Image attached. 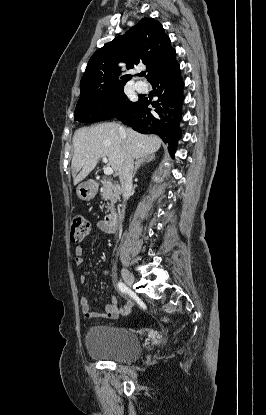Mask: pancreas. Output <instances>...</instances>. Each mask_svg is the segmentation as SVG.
Returning a JSON list of instances; mask_svg holds the SVG:
<instances>
[{"mask_svg": "<svg viewBox=\"0 0 266 415\" xmlns=\"http://www.w3.org/2000/svg\"><path fill=\"white\" fill-rule=\"evenodd\" d=\"M102 198L107 201V211L115 213V203L119 198V190L117 185H113L110 179H104L102 181V187L100 189Z\"/></svg>", "mask_w": 266, "mask_h": 415, "instance_id": "obj_1", "label": "pancreas"}]
</instances>
